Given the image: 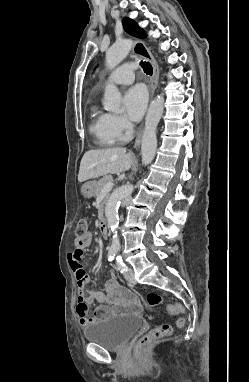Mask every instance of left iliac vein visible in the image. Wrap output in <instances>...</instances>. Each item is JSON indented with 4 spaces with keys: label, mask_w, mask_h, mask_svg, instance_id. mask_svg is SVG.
I'll list each match as a JSON object with an SVG mask.
<instances>
[{
    "label": "left iliac vein",
    "mask_w": 249,
    "mask_h": 382,
    "mask_svg": "<svg viewBox=\"0 0 249 382\" xmlns=\"http://www.w3.org/2000/svg\"><path fill=\"white\" fill-rule=\"evenodd\" d=\"M124 277L130 284H135L136 281L131 268H128L127 272L124 274Z\"/></svg>",
    "instance_id": "4c4485c4"
}]
</instances>
